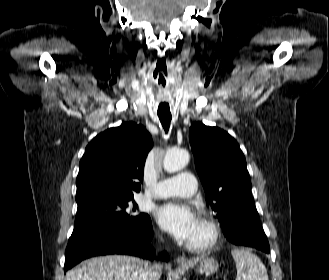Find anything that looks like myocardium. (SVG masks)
Wrapping results in <instances>:
<instances>
[{"mask_svg": "<svg viewBox=\"0 0 329 280\" xmlns=\"http://www.w3.org/2000/svg\"><path fill=\"white\" fill-rule=\"evenodd\" d=\"M199 222L206 231V238L199 243L188 242L186 247L193 252L203 253L212 249L219 241L220 229L217 223L208 215L202 214Z\"/></svg>", "mask_w": 329, "mask_h": 280, "instance_id": "1", "label": "myocardium"}]
</instances>
